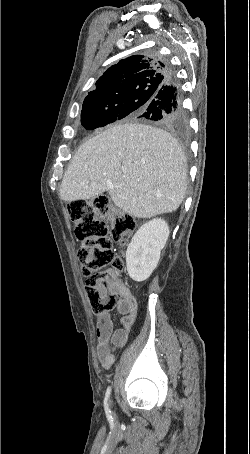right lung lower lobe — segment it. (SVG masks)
Instances as JSON below:
<instances>
[{
    "instance_id": "right-lung-lower-lobe-1",
    "label": "right lung lower lobe",
    "mask_w": 250,
    "mask_h": 454,
    "mask_svg": "<svg viewBox=\"0 0 250 454\" xmlns=\"http://www.w3.org/2000/svg\"><path fill=\"white\" fill-rule=\"evenodd\" d=\"M169 70L170 73L166 82L154 95L146 110L138 118L152 120L161 125L177 129L185 126L186 117L182 107L183 98L181 87L176 74L170 66Z\"/></svg>"
}]
</instances>
